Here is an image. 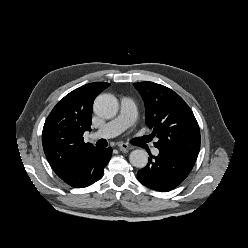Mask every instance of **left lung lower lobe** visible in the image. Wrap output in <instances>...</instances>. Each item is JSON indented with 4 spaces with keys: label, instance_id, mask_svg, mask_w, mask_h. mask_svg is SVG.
<instances>
[{
    "label": "left lung lower lobe",
    "instance_id": "1",
    "mask_svg": "<svg viewBox=\"0 0 248 248\" xmlns=\"http://www.w3.org/2000/svg\"><path fill=\"white\" fill-rule=\"evenodd\" d=\"M195 159L159 150L152 156L146 167L139 170L137 179L144 186L159 192H168L176 188L192 170Z\"/></svg>",
    "mask_w": 248,
    "mask_h": 248
}]
</instances>
